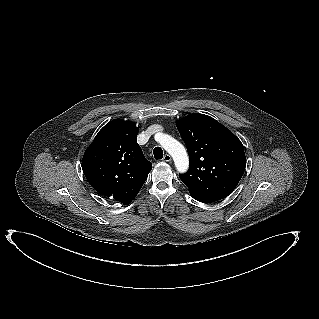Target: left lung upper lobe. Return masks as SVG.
Segmentation results:
<instances>
[{
  "label": "left lung upper lobe",
  "instance_id": "obj_1",
  "mask_svg": "<svg viewBox=\"0 0 319 319\" xmlns=\"http://www.w3.org/2000/svg\"><path fill=\"white\" fill-rule=\"evenodd\" d=\"M186 144L190 167L180 175L191 194L218 201L233 192L246 158L241 141L225 126L204 114H191L176 122Z\"/></svg>",
  "mask_w": 319,
  "mask_h": 319
}]
</instances>
